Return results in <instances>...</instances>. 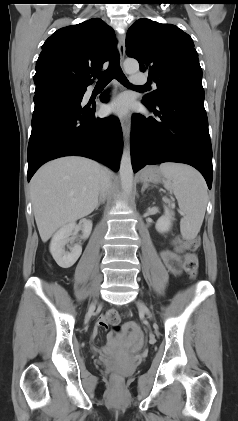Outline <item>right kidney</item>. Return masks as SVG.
<instances>
[{"mask_svg": "<svg viewBox=\"0 0 238 421\" xmlns=\"http://www.w3.org/2000/svg\"><path fill=\"white\" fill-rule=\"evenodd\" d=\"M76 227L75 222H71L60 228L52 237L50 243V253L52 254L56 263L62 268H70L78 260L82 253L80 244H75L70 247V252L65 251V245L69 241V236L72 234ZM92 230V222L89 220L84 221L83 224V239H87Z\"/></svg>", "mask_w": 238, "mask_h": 421, "instance_id": "right-kidney-1", "label": "right kidney"}]
</instances>
